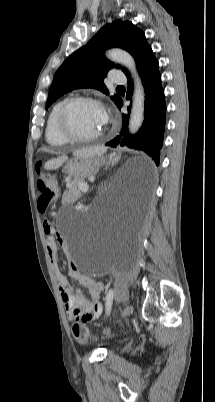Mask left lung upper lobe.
<instances>
[{"instance_id":"1","label":"left lung upper lobe","mask_w":215,"mask_h":402,"mask_svg":"<svg viewBox=\"0 0 215 402\" xmlns=\"http://www.w3.org/2000/svg\"><path fill=\"white\" fill-rule=\"evenodd\" d=\"M120 47L128 51L139 70L154 57L143 31L129 21L117 20L102 27L82 48L71 54L57 70L49 90L46 109L63 94L78 88H95L106 94L108 90L104 78L115 65L105 57V50ZM122 71L129 76L126 68ZM111 99L118 103L121 99L114 95Z\"/></svg>"}]
</instances>
